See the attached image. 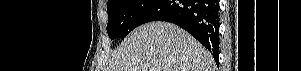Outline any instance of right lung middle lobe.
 <instances>
[{"label": "right lung middle lobe", "instance_id": "dd1d6c3e", "mask_svg": "<svg viewBox=\"0 0 301 71\" xmlns=\"http://www.w3.org/2000/svg\"><path fill=\"white\" fill-rule=\"evenodd\" d=\"M158 0H108L107 32L111 40L125 37Z\"/></svg>", "mask_w": 301, "mask_h": 71}]
</instances>
